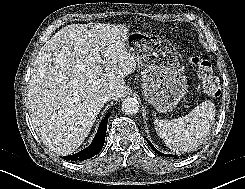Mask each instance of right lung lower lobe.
<instances>
[{
    "instance_id": "98d812e1",
    "label": "right lung lower lobe",
    "mask_w": 245,
    "mask_h": 189,
    "mask_svg": "<svg viewBox=\"0 0 245 189\" xmlns=\"http://www.w3.org/2000/svg\"><path fill=\"white\" fill-rule=\"evenodd\" d=\"M110 114V112L107 113L102 122L100 123L96 136L93 139L90 146H88L87 148H85L77 154L63 156L62 158L71 161H82L97 155L102 149L105 142L108 117L110 116Z\"/></svg>"
}]
</instances>
